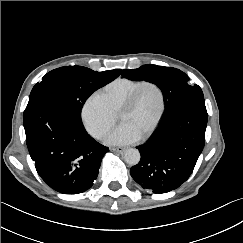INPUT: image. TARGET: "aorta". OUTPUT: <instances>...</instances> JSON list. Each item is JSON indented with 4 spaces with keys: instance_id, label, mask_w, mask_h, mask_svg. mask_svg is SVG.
Segmentation results:
<instances>
[{
    "instance_id": "762f6f07",
    "label": "aorta",
    "mask_w": 243,
    "mask_h": 243,
    "mask_svg": "<svg viewBox=\"0 0 243 243\" xmlns=\"http://www.w3.org/2000/svg\"><path fill=\"white\" fill-rule=\"evenodd\" d=\"M123 157L129 165H137L141 158L140 152L135 148L125 150Z\"/></svg>"
}]
</instances>
